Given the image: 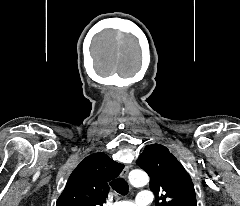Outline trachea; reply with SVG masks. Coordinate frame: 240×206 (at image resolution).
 I'll return each mask as SVG.
<instances>
[{
    "label": "trachea",
    "mask_w": 240,
    "mask_h": 206,
    "mask_svg": "<svg viewBox=\"0 0 240 206\" xmlns=\"http://www.w3.org/2000/svg\"><path fill=\"white\" fill-rule=\"evenodd\" d=\"M110 186L119 194L126 195L129 186L123 178H118L110 182Z\"/></svg>",
    "instance_id": "3493384b"
}]
</instances>
